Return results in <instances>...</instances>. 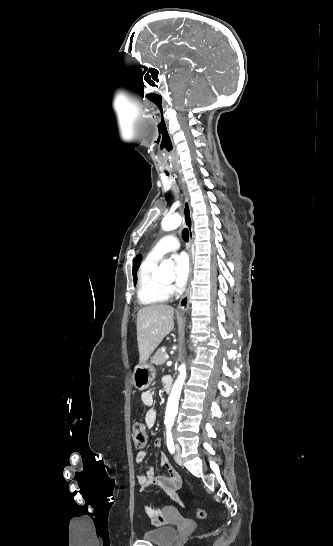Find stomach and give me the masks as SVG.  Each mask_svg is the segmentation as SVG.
<instances>
[{"label":"stomach","mask_w":333,"mask_h":546,"mask_svg":"<svg viewBox=\"0 0 333 546\" xmlns=\"http://www.w3.org/2000/svg\"><path fill=\"white\" fill-rule=\"evenodd\" d=\"M156 375V369L152 364L139 363L133 371V384L138 390L147 389Z\"/></svg>","instance_id":"obj_1"}]
</instances>
